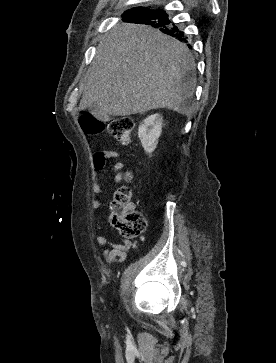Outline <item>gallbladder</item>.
Masks as SVG:
<instances>
[{"instance_id": "1", "label": "gallbladder", "mask_w": 276, "mask_h": 363, "mask_svg": "<svg viewBox=\"0 0 276 363\" xmlns=\"http://www.w3.org/2000/svg\"><path fill=\"white\" fill-rule=\"evenodd\" d=\"M89 110H90V112L91 113H93V112H98L99 111V108L97 107V106H91L90 108H89ZM109 118V115H102L101 117H100V120L101 121H105V120H107Z\"/></svg>"}]
</instances>
